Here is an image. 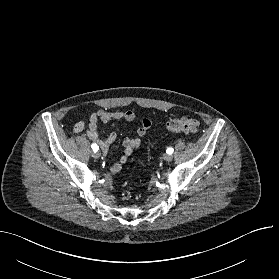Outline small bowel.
I'll use <instances>...</instances> for the list:
<instances>
[{"label":"small bowel","mask_w":279,"mask_h":279,"mask_svg":"<svg viewBox=\"0 0 279 279\" xmlns=\"http://www.w3.org/2000/svg\"><path fill=\"white\" fill-rule=\"evenodd\" d=\"M135 118L136 115L132 110L107 111L100 109L91 113L87 126L83 121H78L74 124L73 129L77 133L86 130L87 136L92 141H94L95 144H97L105 154H107L111 145L116 140L117 135L115 132H110L106 138H100L97 132L98 123L118 120L132 122L135 120ZM151 125V119H149L148 117H144L141 119L139 124L136 126V136L124 139L122 156L120 157L118 162L114 163L110 167L111 172L117 173L122 169L123 165L127 162L128 158L141 145L142 138L147 134V132L151 128Z\"/></svg>","instance_id":"1"}]
</instances>
